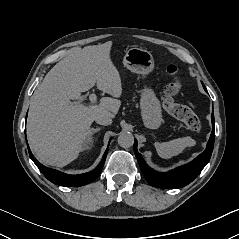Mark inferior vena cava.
Returning <instances> with one entry per match:
<instances>
[{
  "label": "inferior vena cava",
  "instance_id": "602c4592",
  "mask_svg": "<svg viewBox=\"0 0 239 239\" xmlns=\"http://www.w3.org/2000/svg\"><path fill=\"white\" fill-rule=\"evenodd\" d=\"M94 120L96 123L100 124V125H110L112 123V117L110 112L108 111H102L100 113H98L95 117Z\"/></svg>",
  "mask_w": 239,
  "mask_h": 239
}]
</instances>
